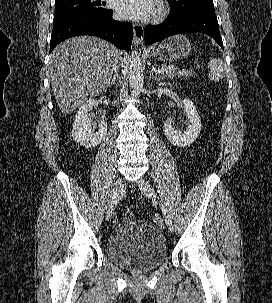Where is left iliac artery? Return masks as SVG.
<instances>
[{
  "mask_svg": "<svg viewBox=\"0 0 272 303\" xmlns=\"http://www.w3.org/2000/svg\"><path fill=\"white\" fill-rule=\"evenodd\" d=\"M160 206H161V209H162L163 213L166 214V213H167V209L165 208L164 204L161 203ZM168 216H169V215H168ZM169 220H170V219H169Z\"/></svg>",
  "mask_w": 272,
  "mask_h": 303,
  "instance_id": "obj_1",
  "label": "left iliac artery"
}]
</instances>
